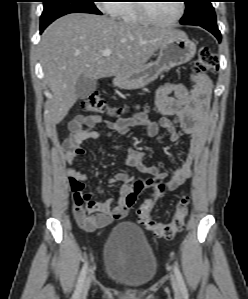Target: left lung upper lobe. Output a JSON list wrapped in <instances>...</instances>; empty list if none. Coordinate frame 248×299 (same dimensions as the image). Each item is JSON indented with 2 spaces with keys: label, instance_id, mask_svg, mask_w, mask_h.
Wrapping results in <instances>:
<instances>
[{
  "label": "left lung upper lobe",
  "instance_id": "1",
  "mask_svg": "<svg viewBox=\"0 0 248 299\" xmlns=\"http://www.w3.org/2000/svg\"><path fill=\"white\" fill-rule=\"evenodd\" d=\"M212 0H185L186 10L180 23L184 25H217Z\"/></svg>",
  "mask_w": 248,
  "mask_h": 299
}]
</instances>
